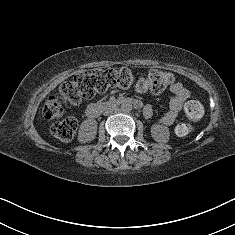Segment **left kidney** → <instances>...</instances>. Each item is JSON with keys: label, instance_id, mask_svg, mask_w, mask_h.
<instances>
[{"label": "left kidney", "instance_id": "obj_1", "mask_svg": "<svg viewBox=\"0 0 235 235\" xmlns=\"http://www.w3.org/2000/svg\"><path fill=\"white\" fill-rule=\"evenodd\" d=\"M151 133L153 135V138H155V140H158L164 143L168 141L169 135H170L169 129L159 124H154L151 127Z\"/></svg>", "mask_w": 235, "mask_h": 235}]
</instances>
